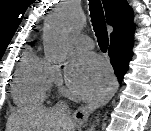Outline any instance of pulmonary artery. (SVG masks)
Returning <instances> with one entry per match:
<instances>
[{
    "instance_id": "1",
    "label": "pulmonary artery",
    "mask_w": 151,
    "mask_h": 131,
    "mask_svg": "<svg viewBox=\"0 0 151 131\" xmlns=\"http://www.w3.org/2000/svg\"><path fill=\"white\" fill-rule=\"evenodd\" d=\"M78 45L83 49H91L93 44L89 37L83 36L79 39Z\"/></svg>"
}]
</instances>
